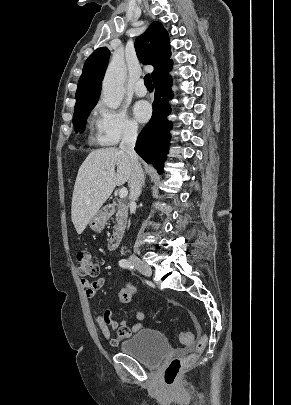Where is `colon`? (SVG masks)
<instances>
[{
	"instance_id": "obj_1",
	"label": "colon",
	"mask_w": 291,
	"mask_h": 405,
	"mask_svg": "<svg viewBox=\"0 0 291 405\" xmlns=\"http://www.w3.org/2000/svg\"><path fill=\"white\" fill-rule=\"evenodd\" d=\"M77 271L82 276L95 277L99 274V265L89 251L82 250L78 252ZM135 293L136 290L134 287L126 285L120 290L118 297L122 303H127L132 299ZM193 340V334L189 331H184L180 335V341L184 345L192 344ZM206 343L207 338L202 336L196 344L195 353L189 354L185 357H175L169 362L164 370V380L167 385H174L177 382L180 373L185 368H188L195 363L198 354L204 350Z\"/></svg>"
}]
</instances>
